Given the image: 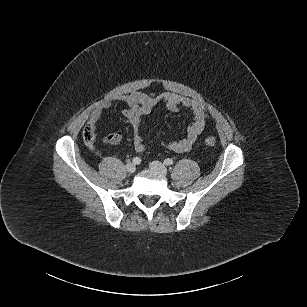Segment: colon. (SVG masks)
<instances>
[{"label": "colon", "instance_id": "colon-1", "mask_svg": "<svg viewBox=\"0 0 307 307\" xmlns=\"http://www.w3.org/2000/svg\"><path fill=\"white\" fill-rule=\"evenodd\" d=\"M83 138L86 144H93L96 138L94 129L87 125L83 131ZM120 140L121 135L119 133L110 134L105 138V142L112 145L119 143ZM204 142L207 146H214L216 144V139L209 136L205 138Z\"/></svg>", "mask_w": 307, "mask_h": 307}]
</instances>
